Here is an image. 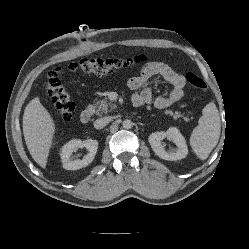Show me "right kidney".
Instances as JSON below:
<instances>
[{
	"label": "right kidney",
	"instance_id": "right-kidney-1",
	"mask_svg": "<svg viewBox=\"0 0 249 249\" xmlns=\"http://www.w3.org/2000/svg\"><path fill=\"white\" fill-rule=\"evenodd\" d=\"M86 148L88 154L80 159H71V155L78 148ZM98 148V142L96 140L87 139L84 141L73 139L66 143L60 153L63 168L66 170H78L88 166L94 159Z\"/></svg>",
	"mask_w": 249,
	"mask_h": 249
}]
</instances>
